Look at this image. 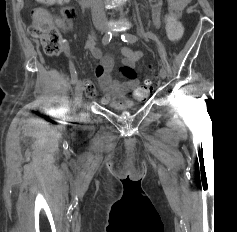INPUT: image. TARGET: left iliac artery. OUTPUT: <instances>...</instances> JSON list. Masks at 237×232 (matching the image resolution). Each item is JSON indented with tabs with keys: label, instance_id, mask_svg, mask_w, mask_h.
I'll return each mask as SVG.
<instances>
[{
	"label": "left iliac artery",
	"instance_id": "1",
	"mask_svg": "<svg viewBox=\"0 0 237 232\" xmlns=\"http://www.w3.org/2000/svg\"><path fill=\"white\" fill-rule=\"evenodd\" d=\"M142 35H143V37L150 38L152 40L158 41L156 35L151 33V32H146V33H143ZM121 38L124 42H129V43H134V42L137 41V37L135 35H132V34L122 35Z\"/></svg>",
	"mask_w": 237,
	"mask_h": 232
}]
</instances>
